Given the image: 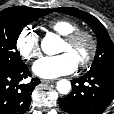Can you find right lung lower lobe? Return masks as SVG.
<instances>
[{
  "label": "right lung lower lobe",
  "mask_w": 114,
  "mask_h": 114,
  "mask_svg": "<svg viewBox=\"0 0 114 114\" xmlns=\"http://www.w3.org/2000/svg\"><path fill=\"white\" fill-rule=\"evenodd\" d=\"M31 76L26 65L13 70L0 72V114H23L30 106L31 93L39 84L33 78L29 83L21 81Z\"/></svg>",
  "instance_id": "right-lung-lower-lobe-1"
}]
</instances>
